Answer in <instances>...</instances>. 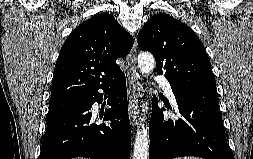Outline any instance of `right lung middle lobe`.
I'll use <instances>...</instances> for the list:
<instances>
[{
	"label": "right lung middle lobe",
	"instance_id": "right-lung-middle-lobe-1",
	"mask_svg": "<svg viewBox=\"0 0 253 159\" xmlns=\"http://www.w3.org/2000/svg\"><path fill=\"white\" fill-rule=\"evenodd\" d=\"M86 97L87 96L49 102V116L47 120H50L61 112L75 106L79 101Z\"/></svg>",
	"mask_w": 253,
	"mask_h": 159
}]
</instances>
